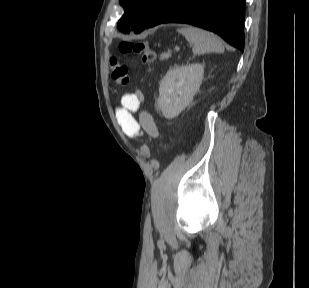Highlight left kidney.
<instances>
[{
  "label": "left kidney",
  "mask_w": 309,
  "mask_h": 288,
  "mask_svg": "<svg viewBox=\"0 0 309 288\" xmlns=\"http://www.w3.org/2000/svg\"><path fill=\"white\" fill-rule=\"evenodd\" d=\"M204 65L193 63L171 68L160 83L158 107L167 119L177 117L200 88Z\"/></svg>",
  "instance_id": "1"
}]
</instances>
